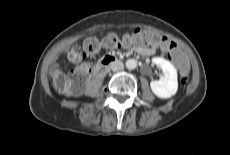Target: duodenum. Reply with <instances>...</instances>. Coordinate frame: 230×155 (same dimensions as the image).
Segmentation results:
<instances>
[{"instance_id":"1","label":"duodenum","mask_w":230,"mask_h":155,"mask_svg":"<svg viewBox=\"0 0 230 155\" xmlns=\"http://www.w3.org/2000/svg\"><path fill=\"white\" fill-rule=\"evenodd\" d=\"M119 59L115 56H112L110 54H107L103 56L98 63L96 64L94 70H93V77L99 76L107 67L110 65L117 63Z\"/></svg>"}]
</instances>
